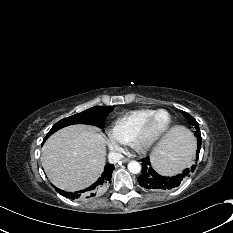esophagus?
<instances>
[{
  "label": "esophagus",
  "mask_w": 233,
  "mask_h": 233,
  "mask_svg": "<svg viewBox=\"0 0 233 233\" xmlns=\"http://www.w3.org/2000/svg\"><path fill=\"white\" fill-rule=\"evenodd\" d=\"M122 161H123L124 163H127V162H129L130 160H129V158H123Z\"/></svg>",
  "instance_id": "esophagus-1"
}]
</instances>
